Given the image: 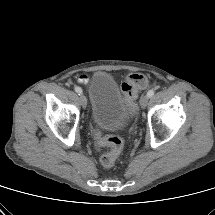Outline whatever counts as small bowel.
I'll use <instances>...</instances> for the list:
<instances>
[{"mask_svg":"<svg viewBox=\"0 0 215 215\" xmlns=\"http://www.w3.org/2000/svg\"><path fill=\"white\" fill-rule=\"evenodd\" d=\"M87 81H88V77L86 75H81L78 78L79 83H87Z\"/></svg>","mask_w":215,"mask_h":215,"instance_id":"obj_1","label":"small bowel"}]
</instances>
